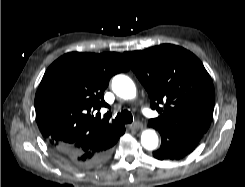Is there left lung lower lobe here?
<instances>
[{
  "label": "left lung lower lobe",
  "instance_id": "1",
  "mask_svg": "<svg viewBox=\"0 0 245 187\" xmlns=\"http://www.w3.org/2000/svg\"><path fill=\"white\" fill-rule=\"evenodd\" d=\"M157 129L162 138L161 147L153 152L159 160H179L189 154L200 141L203 133L199 131H171L149 124Z\"/></svg>",
  "mask_w": 245,
  "mask_h": 187
}]
</instances>
